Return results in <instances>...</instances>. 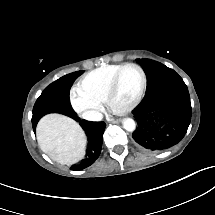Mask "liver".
I'll return each mask as SVG.
<instances>
[{
    "label": "liver",
    "instance_id": "liver-1",
    "mask_svg": "<svg viewBox=\"0 0 215 215\" xmlns=\"http://www.w3.org/2000/svg\"><path fill=\"white\" fill-rule=\"evenodd\" d=\"M40 149L58 164L72 166L86 156L87 136L79 122L58 113H47L36 125Z\"/></svg>",
    "mask_w": 215,
    "mask_h": 215
}]
</instances>
